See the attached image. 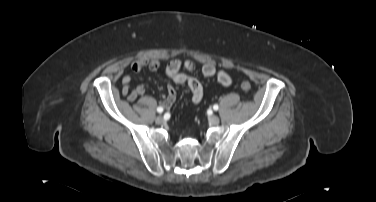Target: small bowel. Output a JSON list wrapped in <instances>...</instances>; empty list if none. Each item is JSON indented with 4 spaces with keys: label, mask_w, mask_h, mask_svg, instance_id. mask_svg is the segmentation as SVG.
<instances>
[{
    "label": "small bowel",
    "mask_w": 376,
    "mask_h": 202,
    "mask_svg": "<svg viewBox=\"0 0 376 202\" xmlns=\"http://www.w3.org/2000/svg\"><path fill=\"white\" fill-rule=\"evenodd\" d=\"M160 67V62L157 59H139L131 63V70L135 73L140 72L143 69H149L156 71ZM194 64L189 61L172 60L170 61L165 72L173 83L183 85L186 84L192 93V102L197 104L201 102L203 98V87L201 83L194 77L182 72V69L187 71L194 70ZM203 74L209 78L217 79L220 84L228 86L231 84V78L223 70H217L213 64H205L203 66ZM122 96L130 102H134L139 96L143 95L147 89L145 84H140L136 88L130 87L131 75L126 73L122 76ZM176 100V90L173 84L167 85V92L163 100V105L170 107Z\"/></svg>",
    "instance_id": "1"
}]
</instances>
